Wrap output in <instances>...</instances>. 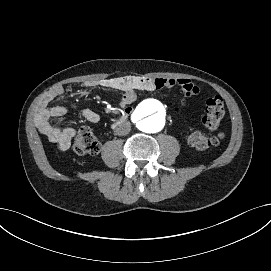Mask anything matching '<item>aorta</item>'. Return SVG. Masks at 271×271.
Wrapping results in <instances>:
<instances>
[{"label": "aorta", "mask_w": 271, "mask_h": 271, "mask_svg": "<svg viewBox=\"0 0 271 271\" xmlns=\"http://www.w3.org/2000/svg\"><path fill=\"white\" fill-rule=\"evenodd\" d=\"M138 128L145 133L161 131L166 123L165 107L155 99H146L138 104L133 116Z\"/></svg>", "instance_id": "obj_1"}]
</instances>
